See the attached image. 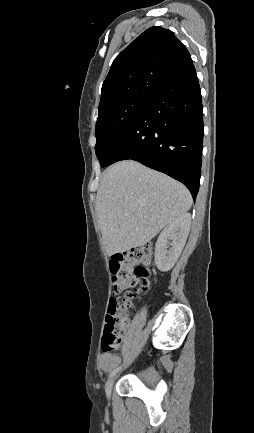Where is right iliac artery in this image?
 <instances>
[{
	"label": "right iliac artery",
	"mask_w": 254,
	"mask_h": 433,
	"mask_svg": "<svg viewBox=\"0 0 254 433\" xmlns=\"http://www.w3.org/2000/svg\"><path fill=\"white\" fill-rule=\"evenodd\" d=\"M119 368H120V367L111 370L109 376L111 377V376L115 375V373L119 370Z\"/></svg>",
	"instance_id": "82829eb1"
}]
</instances>
